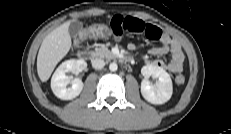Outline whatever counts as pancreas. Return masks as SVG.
Returning a JSON list of instances; mask_svg holds the SVG:
<instances>
[{
    "instance_id": "cf45deb5",
    "label": "pancreas",
    "mask_w": 231,
    "mask_h": 134,
    "mask_svg": "<svg viewBox=\"0 0 231 134\" xmlns=\"http://www.w3.org/2000/svg\"><path fill=\"white\" fill-rule=\"evenodd\" d=\"M93 56L95 57H101V58H106V59H113L116 56L112 54V52L104 45L98 47L95 49L93 52Z\"/></svg>"
}]
</instances>
